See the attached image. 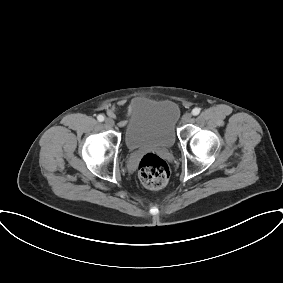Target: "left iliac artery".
Returning <instances> with one entry per match:
<instances>
[{
    "mask_svg": "<svg viewBox=\"0 0 283 283\" xmlns=\"http://www.w3.org/2000/svg\"><path fill=\"white\" fill-rule=\"evenodd\" d=\"M199 113H200V109H199V108H194V109L192 110V114H193L194 116H197Z\"/></svg>",
    "mask_w": 283,
    "mask_h": 283,
    "instance_id": "1",
    "label": "left iliac artery"
}]
</instances>
